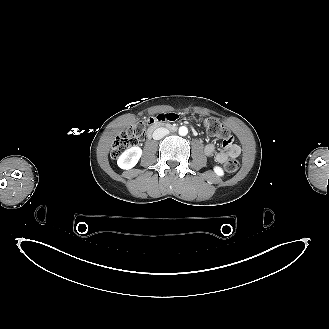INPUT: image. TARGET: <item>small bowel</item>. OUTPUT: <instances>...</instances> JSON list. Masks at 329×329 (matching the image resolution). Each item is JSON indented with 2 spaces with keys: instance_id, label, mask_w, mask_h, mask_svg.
<instances>
[{
  "instance_id": "obj_1",
  "label": "small bowel",
  "mask_w": 329,
  "mask_h": 329,
  "mask_svg": "<svg viewBox=\"0 0 329 329\" xmlns=\"http://www.w3.org/2000/svg\"><path fill=\"white\" fill-rule=\"evenodd\" d=\"M178 118L176 113L172 112H161L156 116L159 122H175ZM205 153L208 156H212L219 163H224L226 160L232 157H237L240 154V148L237 145H231L227 149L217 148L214 144L210 143L205 146Z\"/></svg>"
}]
</instances>
